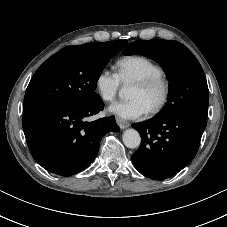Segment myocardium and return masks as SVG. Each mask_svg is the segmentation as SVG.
Returning <instances> with one entry per match:
<instances>
[{
    "mask_svg": "<svg viewBox=\"0 0 227 227\" xmlns=\"http://www.w3.org/2000/svg\"><path fill=\"white\" fill-rule=\"evenodd\" d=\"M134 84L144 90H150L155 87L161 88V96L158 102L148 110L149 114H157L165 107L171 93V83L166 76H164L163 74L154 75L138 80L134 82Z\"/></svg>",
    "mask_w": 227,
    "mask_h": 227,
    "instance_id": "1",
    "label": "myocardium"
}]
</instances>
